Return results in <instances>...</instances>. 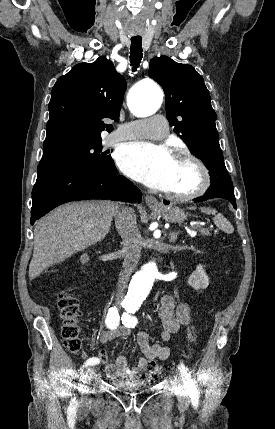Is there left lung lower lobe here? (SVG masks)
<instances>
[{"label":"left lung lower lobe","instance_id":"1","mask_svg":"<svg viewBox=\"0 0 275 429\" xmlns=\"http://www.w3.org/2000/svg\"><path fill=\"white\" fill-rule=\"evenodd\" d=\"M212 198L226 199L230 201V203L233 205L234 208H236L234 188L233 186L227 183L211 184L210 188L205 193V195L198 199H195V202H200V201H204ZM164 204H169V202L164 201Z\"/></svg>","mask_w":275,"mask_h":429}]
</instances>
